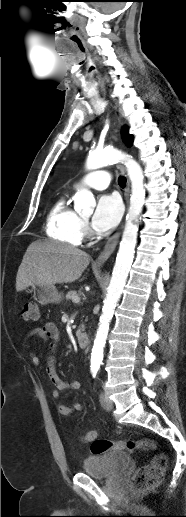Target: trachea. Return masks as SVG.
Returning a JSON list of instances; mask_svg holds the SVG:
<instances>
[{"label": "trachea", "instance_id": "1", "mask_svg": "<svg viewBox=\"0 0 186 517\" xmlns=\"http://www.w3.org/2000/svg\"><path fill=\"white\" fill-rule=\"evenodd\" d=\"M118 184H119L120 187H125V185H126V178L122 177V176L119 177L118 178Z\"/></svg>", "mask_w": 186, "mask_h": 517}]
</instances>
